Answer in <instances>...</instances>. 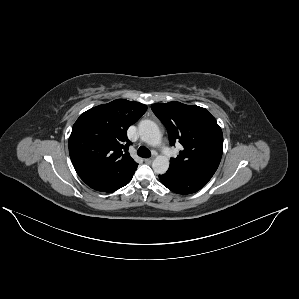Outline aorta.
<instances>
[{
	"label": "aorta",
	"instance_id": "1",
	"mask_svg": "<svg viewBox=\"0 0 299 299\" xmlns=\"http://www.w3.org/2000/svg\"><path fill=\"white\" fill-rule=\"evenodd\" d=\"M138 131L142 141L150 146L156 147L161 143V132L158 125L151 120H142L138 125ZM152 168L157 174H164L169 168V160L166 156H157L153 163Z\"/></svg>",
	"mask_w": 299,
	"mask_h": 299
}]
</instances>
